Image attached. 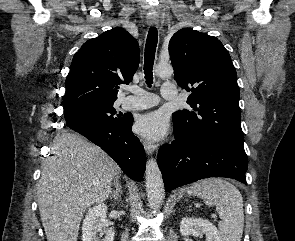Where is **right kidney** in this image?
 I'll use <instances>...</instances> for the list:
<instances>
[{"label":"right kidney","instance_id":"obj_1","mask_svg":"<svg viewBox=\"0 0 295 241\" xmlns=\"http://www.w3.org/2000/svg\"><path fill=\"white\" fill-rule=\"evenodd\" d=\"M106 214L105 204H98L88 210L82 225L83 241H99L97 233H100V237L105 235L102 241L114 240V230L108 227Z\"/></svg>","mask_w":295,"mask_h":241}]
</instances>
